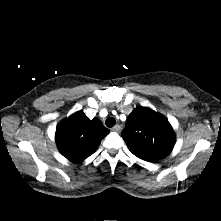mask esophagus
I'll list each match as a JSON object with an SVG mask.
<instances>
[{
    "mask_svg": "<svg viewBox=\"0 0 221 221\" xmlns=\"http://www.w3.org/2000/svg\"><path fill=\"white\" fill-rule=\"evenodd\" d=\"M113 131L115 132H119L121 130V126L120 125H115L113 128H112Z\"/></svg>",
    "mask_w": 221,
    "mask_h": 221,
    "instance_id": "1",
    "label": "esophagus"
}]
</instances>
